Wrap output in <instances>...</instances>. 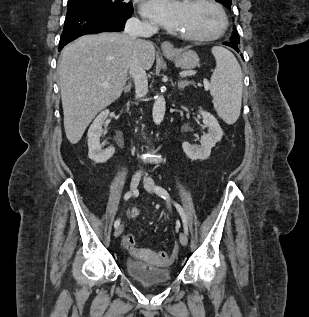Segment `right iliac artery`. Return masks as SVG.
Segmentation results:
<instances>
[{
	"label": "right iliac artery",
	"mask_w": 309,
	"mask_h": 317,
	"mask_svg": "<svg viewBox=\"0 0 309 317\" xmlns=\"http://www.w3.org/2000/svg\"><path fill=\"white\" fill-rule=\"evenodd\" d=\"M131 192H127L125 195H124V199L125 200H128L130 197H131ZM120 225V219H117L115 222H114V227L117 228L118 226Z\"/></svg>",
	"instance_id": "obj_1"
}]
</instances>
